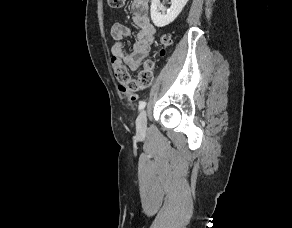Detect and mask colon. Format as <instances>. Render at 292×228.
I'll return each mask as SVG.
<instances>
[{
	"label": "colon",
	"mask_w": 292,
	"mask_h": 228,
	"mask_svg": "<svg viewBox=\"0 0 292 228\" xmlns=\"http://www.w3.org/2000/svg\"><path fill=\"white\" fill-rule=\"evenodd\" d=\"M125 0H107L109 7L121 8ZM170 44V38L167 35L162 36L160 46L157 51L158 56H162L165 48ZM156 59L150 57L146 59L140 68L136 78H133L129 71L122 65H116L114 69L115 76L119 83V90L130 100L135 101L138 98V92L149 88L154 79Z\"/></svg>",
	"instance_id": "obj_1"
}]
</instances>
